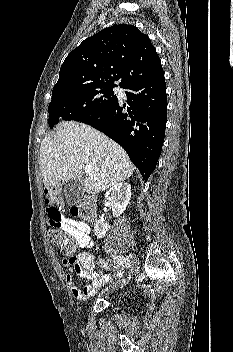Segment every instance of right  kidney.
<instances>
[{"instance_id":"ca27d5eb","label":"right kidney","mask_w":233,"mask_h":352,"mask_svg":"<svg viewBox=\"0 0 233 352\" xmlns=\"http://www.w3.org/2000/svg\"><path fill=\"white\" fill-rule=\"evenodd\" d=\"M106 200H108L114 217H120V215L126 210L131 199V186L129 183L120 182L111 187L105 194ZM110 225L103 219L96 221L94 226L95 235L98 238H103Z\"/></svg>"}]
</instances>
